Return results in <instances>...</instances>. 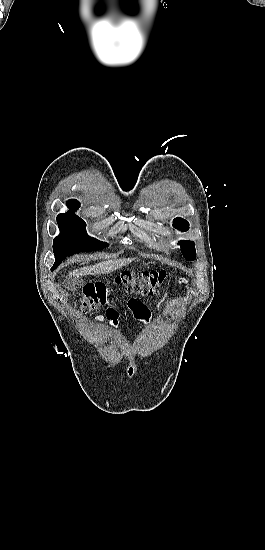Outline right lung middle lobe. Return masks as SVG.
<instances>
[{
    "mask_svg": "<svg viewBox=\"0 0 265 550\" xmlns=\"http://www.w3.org/2000/svg\"><path fill=\"white\" fill-rule=\"evenodd\" d=\"M67 205L71 211L77 210L80 206L79 203ZM57 223L60 235L53 241L55 255L53 267H58L66 257L75 253L101 250L108 246L105 242L89 237L86 232V223L73 213L59 214Z\"/></svg>",
    "mask_w": 265,
    "mask_h": 550,
    "instance_id": "obj_1",
    "label": "right lung middle lobe"
}]
</instances>
